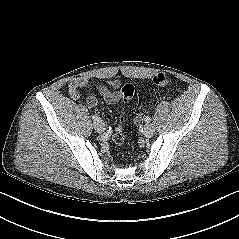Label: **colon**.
<instances>
[{"mask_svg": "<svg viewBox=\"0 0 239 239\" xmlns=\"http://www.w3.org/2000/svg\"><path fill=\"white\" fill-rule=\"evenodd\" d=\"M152 81L156 86H166L170 82V76L167 73H158L153 77ZM121 94L125 102L131 100L135 94L134 86L132 84H125L121 89ZM113 141L118 146H122L125 142L123 117H120L118 120L113 134Z\"/></svg>", "mask_w": 239, "mask_h": 239, "instance_id": "1", "label": "colon"}]
</instances>
